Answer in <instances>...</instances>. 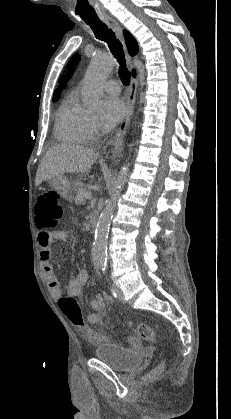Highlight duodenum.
I'll return each mask as SVG.
<instances>
[{
    "instance_id": "duodenum-1",
    "label": "duodenum",
    "mask_w": 231,
    "mask_h": 419,
    "mask_svg": "<svg viewBox=\"0 0 231 419\" xmlns=\"http://www.w3.org/2000/svg\"><path fill=\"white\" fill-rule=\"evenodd\" d=\"M98 223V215L97 214H92L89 217V224L92 228H95L97 226Z\"/></svg>"
}]
</instances>
